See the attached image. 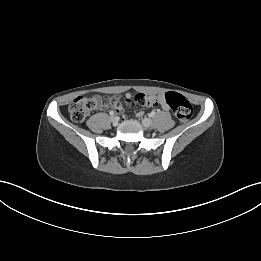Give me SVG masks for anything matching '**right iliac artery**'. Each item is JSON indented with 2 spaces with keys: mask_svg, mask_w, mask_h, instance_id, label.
I'll return each instance as SVG.
<instances>
[{
  "mask_svg": "<svg viewBox=\"0 0 261 261\" xmlns=\"http://www.w3.org/2000/svg\"><path fill=\"white\" fill-rule=\"evenodd\" d=\"M109 114H110L111 116H113V115H114V112H113V111H110Z\"/></svg>",
  "mask_w": 261,
  "mask_h": 261,
  "instance_id": "right-iliac-artery-1",
  "label": "right iliac artery"
}]
</instances>
